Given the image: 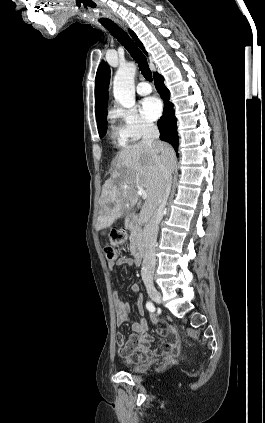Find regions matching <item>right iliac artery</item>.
Wrapping results in <instances>:
<instances>
[{
	"instance_id": "obj_1",
	"label": "right iliac artery",
	"mask_w": 265,
	"mask_h": 423,
	"mask_svg": "<svg viewBox=\"0 0 265 423\" xmlns=\"http://www.w3.org/2000/svg\"><path fill=\"white\" fill-rule=\"evenodd\" d=\"M146 308H147L149 311H154V310H155V306H154V304H153L152 302H147V303H146Z\"/></svg>"
}]
</instances>
